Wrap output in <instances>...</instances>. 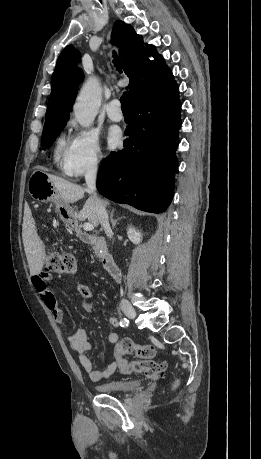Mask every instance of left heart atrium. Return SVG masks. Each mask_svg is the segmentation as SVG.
<instances>
[{
  "instance_id": "left-heart-atrium-1",
  "label": "left heart atrium",
  "mask_w": 261,
  "mask_h": 459,
  "mask_svg": "<svg viewBox=\"0 0 261 459\" xmlns=\"http://www.w3.org/2000/svg\"><path fill=\"white\" fill-rule=\"evenodd\" d=\"M109 148H115L121 142V132L118 128L112 127L107 133Z\"/></svg>"
}]
</instances>
